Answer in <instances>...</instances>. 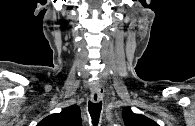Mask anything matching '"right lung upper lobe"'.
Returning a JSON list of instances; mask_svg holds the SVG:
<instances>
[{
  "label": "right lung upper lobe",
  "instance_id": "1",
  "mask_svg": "<svg viewBox=\"0 0 195 126\" xmlns=\"http://www.w3.org/2000/svg\"><path fill=\"white\" fill-rule=\"evenodd\" d=\"M80 124V108L77 105H72L60 113L47 116L37 126H80Z\"/></svg>",
  "mask_w": 195,
  "mask_h": 126
}]
</instances>
